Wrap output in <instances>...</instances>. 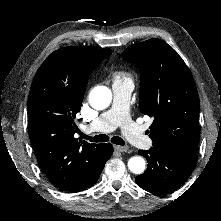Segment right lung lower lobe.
<instances>
[{
	"label": "right lung lower lobe",
	"instance_id": "1",
	"mask_svg": "<svg viewBox=\"0 0 221 221\" xmlns=\"http://www.w3.org/2000/svg\"><path fill=\"white\" fill-rule=\"evenodd\" d=\"M101 150L102 151L100 152L99 161L97 165L95 166L92 175L87 180V182L82 187H80L79 190L77 191L85 190L86 188L93 186L97 182L104 168L106 161L110 158V156L113 153V147L110 143L102 144Z\"/></svg>",
	"mask_w": 221,
	"mask_h": 221
}]
</instances>
